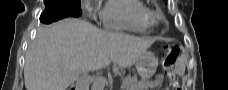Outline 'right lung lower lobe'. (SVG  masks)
Returning a JSON list of instances; mask_svg holds the SVG:
<instances>
[{"label": "right lung lower lobe", "instance_id": "98d812e1", "mask_svg": "<svg viewBox=\"0 0 228 90\" xmlns=\"http://www.w3.org/2000/svg\"><path fill=\"white\" fill-rule=\"evenodd\" d=\"M57 9L54 7H45V11L40 16V21L43 23H51L67 16L56 13Z\"/></svg>", "mask_w": 228, "mask_h": 90}]
</instances>
